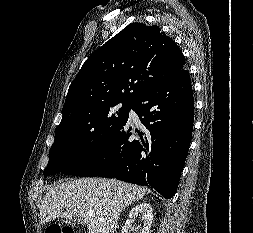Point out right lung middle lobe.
Masks as SVG:
<instances>
[{
    "instance_id": "right-lung-middle-lobe-1",
    "label": "right lung middle lobe",
    "mask_w": 253,
    "mask_h": 233,
    "mask_svg": "<svg viewBox=\"0 0 253 233\" xmlns=\"http://www.w3.org/2000/svg\"><path fill=\"white\" fill-rule=\"evenodd\" d=\"M132 104L130 100L110 99L62 117L44 176L62 172L100 149L128 118Z\"/></svg>"
}]
</instances>
